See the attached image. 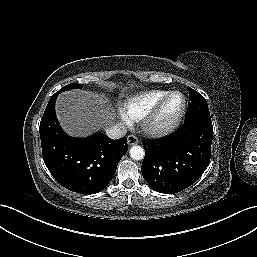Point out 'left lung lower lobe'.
Listing matches in <instances>:
<instances>
[{
    "instance_id": "left-lung-lower-lobe-1",
    "label": "left lung lower lobe",
    "mask_w": 257,
    "mask_h": 257,
    "mask_svg": "<svg viewBox=\"0 0 257 257\" xmlns=\"http://www.w3.org/2000/svg\"><path fill=\"white\" fill-rule=\"evenodd\" d=\"M212 139V121L190 120L172 135L144 141V179L160 193L174 194L188 188L209 165Z\"/></svg>"
}]
</instances>
